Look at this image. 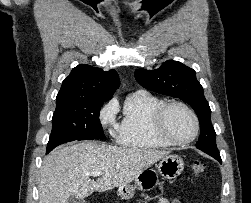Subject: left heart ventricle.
Wrapping results in <instances>:
<instances>
[{"instance_id":"left-heart-ventricle-1","label":"left heart ventricle","mask_w":251,"mask_h":203,"mask_svg":"<svg viewBox=\"0 0 251 203\" xmlns=\"http://www.w3.org/2000/svg\"><path fill=\"white\" fill-rule=\"evenodd\" d=\"M165 130L175 139H187L194 131V121L185 109L174 106L166 114Z\"/></svg>"}]
</instances>
